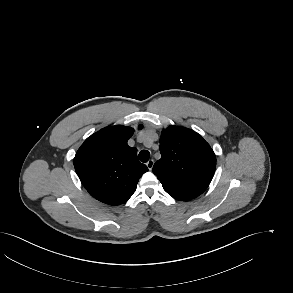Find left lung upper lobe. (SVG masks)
Returning a JSON list of instances; mask_svg holds the SVG:
<instances>
[{"instance_id":"left-lung-upper-lobe-1","label":"left lung upper lobe","mask_w":293,"mask_h":293,"mask_svg":"<svg viewBox=\"0 0 293 293\" xmlns=\"http://www.w3.org/2000/svg\"><path fill=\"white\" fill-rule=\"evenodd\" d=\"M161 159L153 173L163 189L173 198L191 200L209 186L216 167V156L210 145L195 131L169 126L160 137Z\"/></svg>"}]
</instances>
